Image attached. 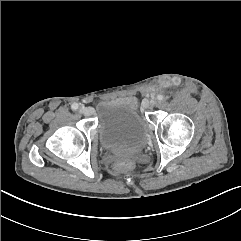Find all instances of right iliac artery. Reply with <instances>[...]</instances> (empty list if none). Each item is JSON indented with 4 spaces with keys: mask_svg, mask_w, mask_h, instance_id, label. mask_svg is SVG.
I'll list each match as a JSON object with an SVG mask.
<instances>
[{
    "mask_svg": "<svg viewBox=\"0 0 241 241\" xmlns=\"http://www.w3.org/2000/svg\"><path fill=\"white\" fill-rule=\"evenodd\" d=\"M71 108L74 111L77 110L78 109V104H76V103L72 104Z\"/></svg>",
    "mask_w": 241,
    "mask_h": 241,
    "instance_id": "82829eb1",
    "label": "right iliac artery"
}]
</instances>
